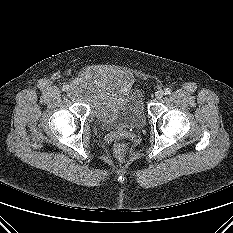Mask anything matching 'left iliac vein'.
<instances>
[{"label": "left iliac vein", "instance_id": "1", "mask_svg": "<svg viewBox=\"0 0 233 233\" xmlns=\"http://www.w3.org/2000/svg\"><path fill=\"white\" fill-rule=\"evenodd\" d=\"M163 94L164 92L162 90H158L156 93H155V97L156 99H161L163 97Z\"/></svg>", "mask_w": 233, "mask_h": 233}]
</instances>
